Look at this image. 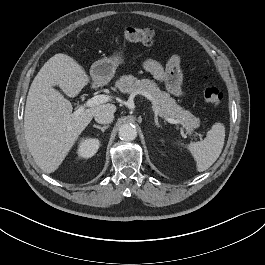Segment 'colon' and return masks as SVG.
<instances>
[{"mask_svg":"<svg viewBox=\"0 0 265 265\" xmlns=\"http://www.w3.org/2000/svg\"><path fill=\"white\" fill-rule=\"evenodd\" d=\"M156 33L150 28L128 27L125 29L123 38L129 42L151 44L154 42ZM206 80V78H204ZM205 101L212 106H219L223 101V93L214 86H207L203 91Z\"/></svg>","mask_w":265,"mask_h":265,"instance_id":"colon-1","label":"colon"}]
</instances>
